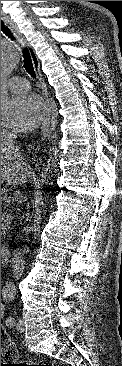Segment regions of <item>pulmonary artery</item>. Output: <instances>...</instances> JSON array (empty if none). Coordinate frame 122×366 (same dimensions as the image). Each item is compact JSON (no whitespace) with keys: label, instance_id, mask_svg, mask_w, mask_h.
<instances>
[{"label":"pulmonary artery","instance_id":"pulmonary-artery-1","mask_svg":"<svg viewBox=\"0 0 122 366\" xmlns=\"http://www.w3.org/2000/svg\"><path fill=\"white\" fill-rule=\"evenodd\" d=\"M6 86L8 89L14 93H24L30 89L29 82L22 77H11L7 82Z\"/></svg>","mask_w":122,"mask_h":366}]
</instances>
